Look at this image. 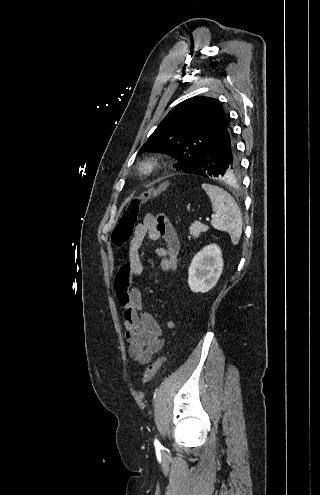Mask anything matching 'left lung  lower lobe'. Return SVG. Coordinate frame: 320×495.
<instances>
[{
  "instance_id": "left-lung-lower-lobe-1",
  "label": "left lung lower lobe",
  "mask_w": 320,
  "mask_h": 495,
  "mask_svg": "<svg viewBox=\"0 0 320 495\" xmlns=\"http://www.w3.org/2000/svg\"><path fill=\"white\" fill-rule=\"evenodd\" d=\"M238 169L239 158L227 125L199 154L196 162L183 172L204 177L228 178L235 175Z\"/></svg>"
}]
</instances>
